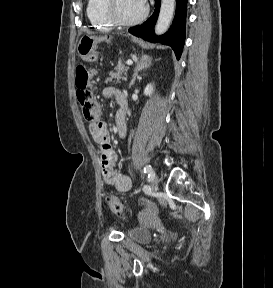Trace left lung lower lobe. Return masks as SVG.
I'll return each instance as SVG.
<instances>
[{
  "label": "left lung lower lobe",
  "instance_id": "left-lung-lower-lobe-1",
  "mask_svg": "<svg viewBox=\"0 0 273 288\" xmlns=\"http://www.w3.org/2000/svg\"><path fill=\"white\" fill-rule=\"evenodd\" d=\"M161 0H155V10L153 15L142 25L129 29V32L137 37L149 42H160L169 45L175 52L176 58L179 59L183 50L185 41V24L187 0H176V14L170 30L162 36H155L154 25L158 18Z\"/></svg>",
  "mask_w": 273,
  "mask_h": 288
}]
</instances>
